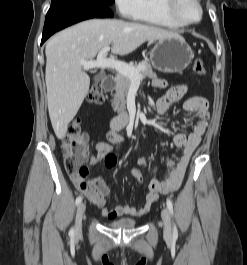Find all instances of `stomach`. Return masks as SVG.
<instances>
[{
	"label": "stomach",
	"mask_w": 247,
	"mask_h": 265,
	"mask_svg": "<svg viewBox=\"0 0 247 265\" xmlns=\"http://www.w3.org/2000/svg\"><path fill=\"white\" fill-rule=\"evenodd\" d=\"M192 59V49L179 35L159 39L150 53L152 66L163 73L181 72Z\"/></svg>",
	"instance_id": "0dacf381"
}]
</instances>
